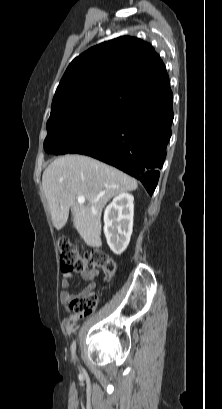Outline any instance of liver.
<instances>
[{
  "mask_svg": "<svg viewBox=\"0 0 222 409\" xmlns=\"http://www.w3.org/2000/svg\"><path fill=\"white\" fill-rule=\"evenodd\" d=\"M42 186L53 226L61 230L71 208L73 225L84 242L93 248L102 246L101 213L114 196L134 191L137 181L127 174L91 157L65 155L44 170ZM87 203L79 204L78 196Z\"/></svg>",
  "mask_w": 222,
  "mask_h": 409,
  "instance_id": "obj_1",
  "label": "liver"
}]
</instances>
